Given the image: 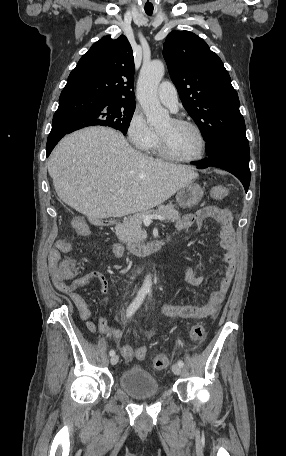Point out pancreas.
<instances>
[{
	"label": "pancreas",
	"instance_id": "obj_1",
	"mask_svg": "<svg viewBox=\"0 0 286 456\" xmlns=\"http://www.w3.org/2000/svg\"><path fill=\"white\" fill-rule=\"evenodd\" d=\"M143 215H161L167 219L168 222H175L180 219V213L172 204L160 206L156 210L134 214L127 218L123 223L116 226L115 234L119 241L130 246L146 239L147 234L142 229Z\"/></svg>",
	"mask_w": 286,
	"mask_h": 456
}]
</instances>
